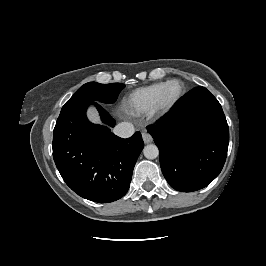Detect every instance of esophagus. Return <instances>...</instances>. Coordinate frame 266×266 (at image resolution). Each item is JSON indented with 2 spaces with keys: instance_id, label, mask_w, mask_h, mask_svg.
<instances>
[{
  "instance_id": "1",
  "label": "esophagus",
  "mask_w": 266,
  "mask_h": 266,
  "mask_svg": "<svg viewBox=\"0 0 266 266\" xmlns=\"http://www.w3.org/2000/svg\"><path fill=\"white\" fill-rule=\"evenodd\" d=\"M142 138L145 144L151 143L153 141L152 136L147 132L142 133Z\"/></svg>"
}]
</instances>
